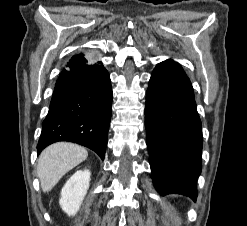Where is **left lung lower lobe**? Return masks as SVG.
<instances>
[{"label":"left lung lower lobe","mask_w":247,"mask_h":226,"mask_svg":"<svg viewBox=\"0 0 247 226\" xmlns=\"http://www.w3.org/2000/svg\"><path fill=\"white\" fill-rule=\"evenodd\" d=\"M145 128L152 179L162 194L197 198L202 129L193 88L173 60L154 69L146 93Z\"/></svg>","instance_id":"obj_1"}]
</instances>
